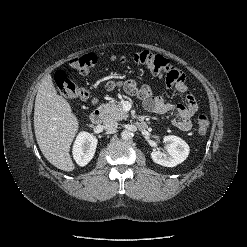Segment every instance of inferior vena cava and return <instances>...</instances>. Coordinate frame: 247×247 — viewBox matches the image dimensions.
Masks as SVG:
<instances>
[{"label":"inferior vena cava","mask_w":247,"mask_h":247,"mask_svg":"<svg viewBox=\"0 0 247 247\" xmlns=\"http://www.w3.org/2000/svg\"><path fill=\"white\" fill-rule=\"evenodd\" d=\"M103 125H104V129H105L106 131H114V130H116L117 127H118V123H117L116 120L113 119V118H108V119H106V120L104 121Z\"/></svg>","instance_id":"obj_1"}]
</instances>
